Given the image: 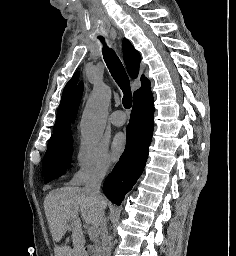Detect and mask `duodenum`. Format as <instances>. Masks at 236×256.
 <instances>
[{
    "label": "duodenum",
    "mask_w": 236,
    "mask_h": 256,
    "mask_svg": "<svg viewBox=\"0 0 236 256\" xmlns=\"http://www.w3.org/2000/svg\"><path fill=\"white\" fill-rule=\"evenodd\" d=\"M81 256H91L90 246L87 245L83 247Z\"/></svg>",
    "instance_id": "duodenum-1"
}]
</instances>
